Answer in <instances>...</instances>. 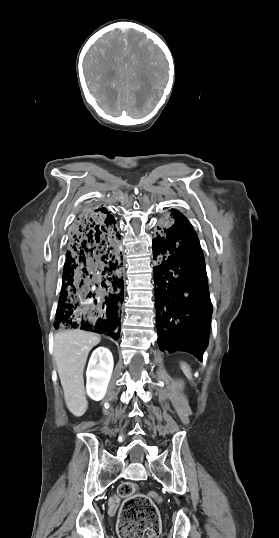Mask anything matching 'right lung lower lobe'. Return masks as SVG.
<instances>
[{"label":"right lung lower lobe","instance_id":"98d812e1","mask_svg":"<svg viewBox=\"0 0 279 538\" xmlns=\"http://www.w3.org/2000/svg\"><path fill=\"white\" fill-rule=\"evenodd\" d=\"M116 221L103 206L85 207L68 240L55 329H80L117 339L123 262Z\"/></svg>","mask_w":279,"mask_h":538}]
</instances>
